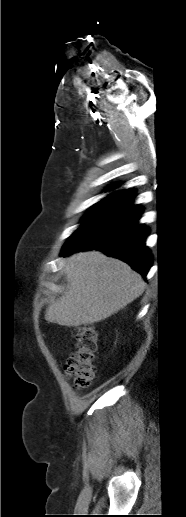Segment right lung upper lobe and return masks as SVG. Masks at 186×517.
<instances>
[{
	"instance_id": "obj_1",
	"label": "right lung upper lobe",
	"mask_w": 186,
	"mask_h": 517,
	"mask_svg": "<svg viewBox=\"0 0 186 517\" xmlns=\"http://www.w3.org/2000/svg\"><path fill=\"white\" fill-rule=\"evenodd\" d=\"M112 188H114V186ZM134 193H135L134 190H120V191H117V192H114V193L108 195L107 197H105L101 201H108V202H112L114 204H117L120 201L125 200V199L133 196Z\"/></svg>"
}]
</instances>
